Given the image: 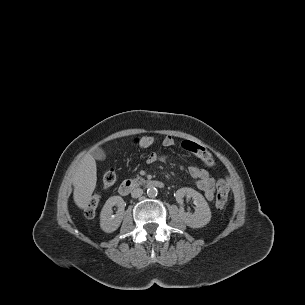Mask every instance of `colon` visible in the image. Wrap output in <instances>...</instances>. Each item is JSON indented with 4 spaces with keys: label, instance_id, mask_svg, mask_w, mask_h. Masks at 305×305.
Wrapping results in <instances>:
<instances>
[{
    "label": "colon",
    "instance_id": "5ec220e1",
    "mask_svg": "<svg viewBox=\"0 0 305 305\" xmlns=\"http://www.w3.org/2000/svg\"><path fill=\"white\" fill-rule=\"evenodd\" d=\"M134 145L138 148L144 149L150 147L154 143V137L150 135L135 138L133 141ZM117 179V175L114 170H108L102 179V184L105 188L112 187ZM229 184L226 180L221 179L217 184V194L215 204L218 209L226 207L228 202ZM100 202L99 195L95 194L90 199L89 203L85 208V214L89 218L95 217Z\"/></svg>",
    "mask_w": 305,
    "mask_h": 305
}]
</instances>
